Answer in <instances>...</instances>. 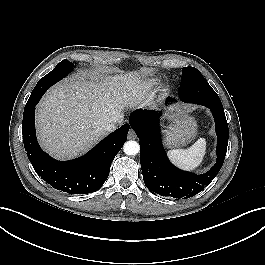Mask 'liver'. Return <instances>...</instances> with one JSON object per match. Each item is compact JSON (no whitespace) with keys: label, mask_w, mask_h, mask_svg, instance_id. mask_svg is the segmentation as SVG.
I'll return each instance as SVG.
<instances>
[{"label":"liver","mask_w":265,"mask_h":265,"mask_svg":"<svg viewBox=\"0 0 265 265\" xmlns=\"http://www.w3.org/2000/svg\"><path fill=\"white\" fill-rule=\"evenodd\" d=\"M151 102L133 74L66 79L53 86L37 106L39 142L57 159L74 158L106 136L108 122L121 123L126 106Z\"/></svg>","instance_id":"1"}]
</instances>
